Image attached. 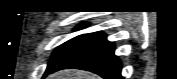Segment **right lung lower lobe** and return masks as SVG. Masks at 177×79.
Instances as JSON below:
<instances>
[{
	"mask_svg": "<svg viewBox=\"0 0 177 79\" xmlns=\"http://www.w3.org/2000/svg\"><path fill=\"white\" fill-rule=\"evenodd\" d=\"M66 68L88 70L104 79H122L121 62L114 55V44L108 42L101 32L92 33L80 46L49 69L45 76Z\"/></svg>",
	"mask_w": 177,
	"mask_h": 79,
	"instance_id": "obj_1",
	"label": "right lung lower lobe"
}]
</instances>
